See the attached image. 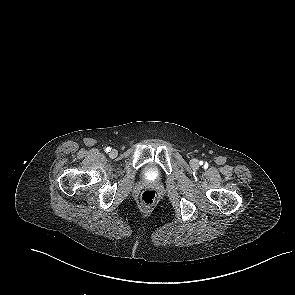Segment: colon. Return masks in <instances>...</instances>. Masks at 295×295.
<instances>
[{"label":"colon","instance_id":"1","mask_svg":"<svg viewBox=\"0 0 295 295\" xmlns=\"http://www.w3.org/2000/svg\"><path fill=\"white\" fill-rule=\"evenodd\" d=\"M140 199H141V202H142L144 205H146V206H150V205H152V204L155 202V200H156V193H155V191L150 190V189L144 190V191L141 193Z\"/></svg>","mask_w":295,"mask_h":295}]
</instances>
